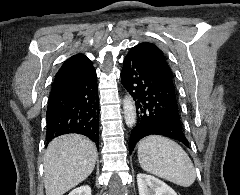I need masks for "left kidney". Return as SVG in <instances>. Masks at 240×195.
Instances as JSON below:
<instances>
[{"label": "left kidney", "instance_id": "obj_1", "mask_svg": "<svg viewBox=\"0 0 240 195\" xmlns=\"http://www.w3.org/2000/svg\"><path fill=\"white\" fill-rule=\"evenodd\" d=\"M139 195H177L176 191L158 179L147 173H137Z\"/></svg>", "mask_w": 240, "mask_h": 195}]
</instances>
